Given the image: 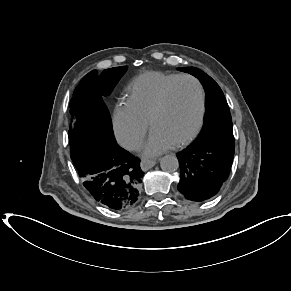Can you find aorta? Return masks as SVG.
<instances>
[{"instance_id": "762f6f07", "label": "aorta", "mask_w": 291, "mask_h": 291, "mask_svg": "<svg viewBox=\"0 0 291 291\" xmlns=\"http://www.w3.org/2000/svg\"><path fill=\"white\" fill-rule=\"evenodd\" d=\"M160 167L163 171L174 172L179 167L177 157L175 155H165L161 158Z\"/></svg>"}]
</instances>
